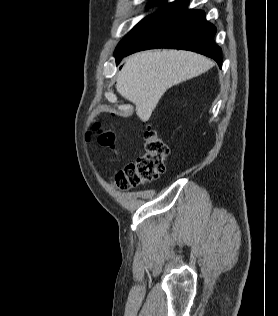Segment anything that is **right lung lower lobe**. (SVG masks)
I'll return each mask as SVG.
<instances>
[{"mask_svg": "<svg viewBox=\"0 0 278 316\" xmlns=\"http://www.w3.org/2000/svg\"><path fill=\"white\" fill-rule=\"evenodd\" d=\"M189 0L169 3L157 20L127 50L116 55L118 64L124 56L152 48H175L194 51L214 59L222 66V51L214 42L216 28L202 10H189Z\"/></svg>", "mask_w": 278, "mask_h": 316, "instance_id": "98d812e1", "label": "right lung lower lobe"}]
</instances>
